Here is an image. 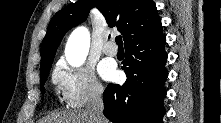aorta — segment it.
<instances>
[{"label":"aorta","instance_id":"762f6f07","mask_svg":"<svg viewBox=\"0 0 221 123\" xmlns=\"http://www.w3.org/2000/svg\"><path fill=\"white\" fill-rule=\"evenodd\" d=\"M90 45V33L84 26L76 28L68 38L65 57L72 67L81 66L88 54Z\"/></svg>","mask_w":221,"mask_h":123}]
</instances>
